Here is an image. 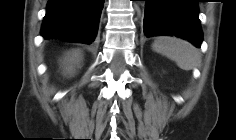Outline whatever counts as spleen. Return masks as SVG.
I'll use <instances>...</instances> for the list:
<instances>
[{"label":"spleen","mask_w":236,"mask_h":140,"mask_svg":"<svg viewBox=\"0 0 236 140\" xmlns=\"http://www.w3.org/2000/svg\"><path fill=\"white\" fill-rule=\"evenodd\" d=\"M152 48L174 61L179 68L189 71L201 63L199 51L189 42L174 37H159Z\"/></svg>","instance_id":"1"}]
</instances>
